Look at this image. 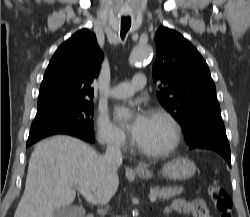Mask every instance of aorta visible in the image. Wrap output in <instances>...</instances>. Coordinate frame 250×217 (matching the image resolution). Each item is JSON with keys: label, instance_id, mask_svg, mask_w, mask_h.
<instances>
[{"label": "aorta", "instance_id": "aorta-1", "mask_svg": "<svg viewBox=\"0 0 250 217\" xmlns=\"http://www.w3.org/2000/svg\"><path fill=\"white\" fill-rule=\"evenodd\" d=\"M153 50L149 45H139L137 46L130 55V63L136 64L147 60L152 55Z\"/></svg>", "mask_w": 250, "mask_h": 217}]
</instances>
